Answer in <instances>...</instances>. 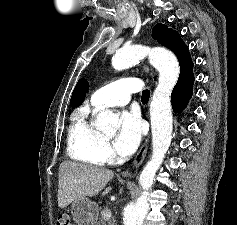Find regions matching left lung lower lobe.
Instances as JSON below:
<instances>
[{
  "label": "left lung lower lobe",
  "mask_w": 237,
  "mask_h": 225,
  "mask_svg": "<svg viewBox=\"0 0 237 225\" xmlns=\"http://www.w3.org/2000/svg\"><path fill=\"white\" fill-rule=\"evenodd\" d=\"M194 79L193 72H180L178 82L171 94L172 108L174 112H181L188 104L193 94Z\"/></svg>",
  "instance_id": "1"
}]
</instances>
